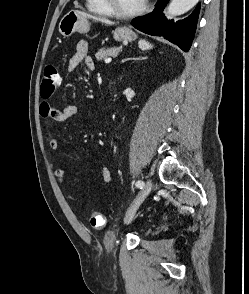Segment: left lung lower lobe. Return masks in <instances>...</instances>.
I'll return each mask as SVG.
<instances>
[{
	"label": "left lung lower lobe",
	"instance_id": "left-lung-lower-lobe-1",
	"mask_svg": "<svg viewBox=\"0 0 249 294\" xmlns=\"http://www.w3.org/2000/svg\"><path fill=\"white\" fill-rule=\"evenodd\" d=\"M168 2L169 0H158L155 9L150 14L134 19L132 25L144 33L163 36L178 45L183 51L188 52L194 38L200 5L190 16L174 23V20H167L162 13Z\"/></svg>",
	"mask_w": 249,
	"mask_h": 294
}]
</instances>
